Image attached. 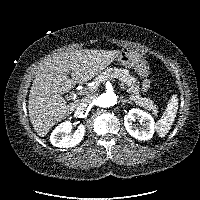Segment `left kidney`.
<instances>
[{
    "mask_svg": "<svg viewBox=\"0 0 200 200\" xmlns=\"http://www.w3.org/2000/svg\"><path fill=\"white\" fill-rule=\"evenodd\" d=\"M138 120L141 127L134 126L133 121ZM124 125L127 132L138 140H149L152 138L155 130V122L153 117L140 109L133 108L129 110L124 117Z\"/></svg>",
    "mask_w": 200,
    "mask_h": 200,
    "instance_id": "5707ae66",
    "label": "left kidney"
}]
</instances>
